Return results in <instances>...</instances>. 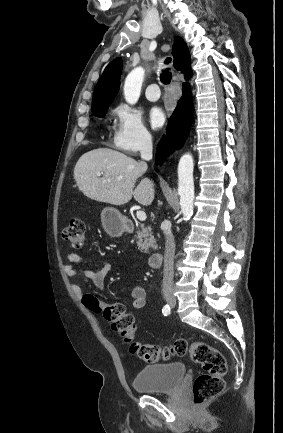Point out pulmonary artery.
<instances>
[{
  "mask_svg": "<svg viewBox=\"0 0 283 433\" xmlns=\"http://www.w3.org/2000/svg\"><path fill=\"white\" fill-rule=\"evenodd\" d=\"M145 96L150 101H156L160 98L157 83H148Z\"/></svg>",
  "mask_w": 283,
  "mask_h": 433,
  "instance_id": "1",
  "label": "pulmonary artery"
}]
</instances>
